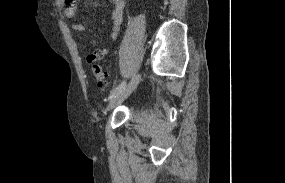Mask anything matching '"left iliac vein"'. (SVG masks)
I'll use <instances>...</instances> for the list:
<instances>
[{"instance_id": "1", "label": "left iliac vein", "mask_w": 285, "mask_h": 183, "mask_svg": "<svg viewBox=\"0 0 285 183\" xmlns=\"http://www.w3.org/2000/svg\"><path fill=\"white\" fill-rule=\"evenodd\" d=\"M140 80V74L134 73L128 82L119 92H117L113 97H111L107 110L112 109L119 103H121L124 99H126L131 92L136 88L138 82Z\"/></svg>"}]
</instances>
